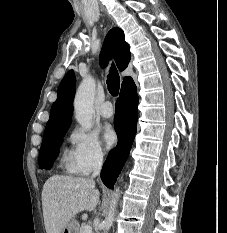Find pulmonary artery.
<instances>
[{"mask_svg":"<svg viewBox=\"0 0 227 233\" xmlns=\"http://www.w3.org/2000/svg\"><path fill=\"white\" fill-rule=\"evenodd\" d=\"M100 114L104 118H110L113 116L114 110L111 102L105 101L104 103H102V105L100 106Z\"/></svg>","mask_w":227,"mask_h":233,"instance_id":"pulmonary-artery-1","label":"pulmonary artery"}]
</instances>
